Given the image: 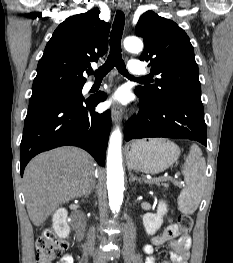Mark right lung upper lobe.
<instances>
[{
  "instance_id": "right-lung-upper-lobe-1",
  "label": "right lung upper lobe",
  "mask_w": 233,
  "mask_h": 263,
  "mask_svg": "<svg viewBox=\"0 0 233 263\" xmlns=\"http://www.w3.org/2000/svg\"><path fill=\"white\" fill-rule=\"evenodd\" d=\"M99 10L70 16L54 31L38 62L32 96L81 87L83 72L108 49L109 23Z\"/></svg>"
}]
</instances>
